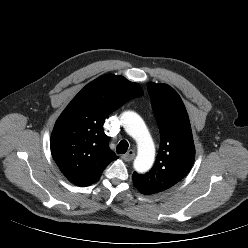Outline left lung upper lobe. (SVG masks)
I'll return each instance as SVG.
<instances>
[{"label": "left lung upper lobe", "mask_w": 248, "mask_h": 248, "mask_svg": "<svg viewBox=\"0 0 248 248\" xmlns=\"http://www.w3.org/2000/svg\"><path fill=\"white\" fill-rule=\"evenodd\" d=\"M161 144L156 162L145 174L133 173V184L143 194L163 192L189 173L195 155L186 108L178 93L166 84L148 83Z\"/></svg>", "instance_id": "left-lung-upper-lobe-1"}]
</instances>
